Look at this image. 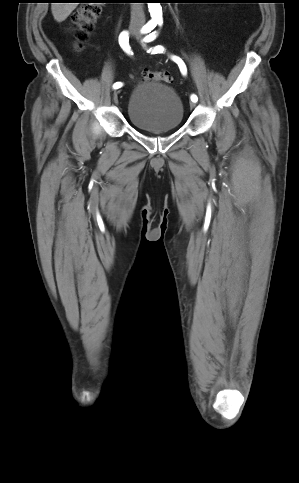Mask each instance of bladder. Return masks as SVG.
<instances>
[{
	"instance_id": "obj_1",
	"label": "bladder",
	"mask_w": 299,
	"mask_h": 483,
	"mask_svg": "<svg viewBox=\"0 0 299 483\" xmlns=\"http://www.w3.org/2000/svg\"><path fill=\"white\" fill-rule=\"evenodd\" d=\"M127 116L131 124L139 130L172 131L182 123L183 104L170 86L157 81L149 82L132 90Z\"/></svg>"
}]
</instances>
